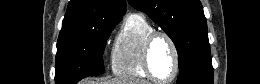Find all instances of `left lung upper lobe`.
<instances>
[{
    "label": "left lung upper lobe",
    "mask_w": 260,
    "mask_h": 84,
    "mask_svg": "<svg viewBox=\"0 0 260 84\" xmlns=\"http://www.w3.org/2000/svg\"><path fill=\"white\" fill-rule=\"evenodd\" d=\"M174 42L179 55L177 84H213L207 22L199 0H128Z\"/></svg>",
    "instance_id": "5c2ea615"
}]
</instances>
